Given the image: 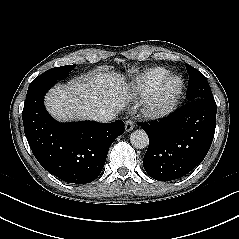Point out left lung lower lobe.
Instances as JSON below:
<instances>
[{
	"mask_svg": "<svg viewBox=\"0 0 239 239\" xmlns=\"http://www.w3.org/2000/svg\"><path fill=\"white\" fill-rule=\"evenodd\" d=\"M214 98L190 101L165 120L139 125L149 137L145 171L158 181L178 179L200 164L216 126Z\"/></svg>",
	"mask_w": 239,
	"mask_h": 239,
	"instance_id": "obj_1",
	"label": "left lung lower lobe"
}]
</instances>
